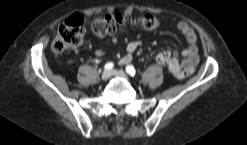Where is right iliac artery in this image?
Here are the masks:
<instances>
[{
    "label": "right iliac artery",
    "instance_id": "82829eb1",
    "mask_svg": "<svg viewBox=\"0 0 247 145\" xmlns=\"http://www.w3.org/2000/svg\"><path fill=\"white\" fill-rule=\"evenodd\" d=\"M114 67V64L112 62H109L107 64H105L104 68L107 69V70H110Z\"/></svg>",
    "mask_w": 247,
    "mask_h": 145
}]
</instances>
